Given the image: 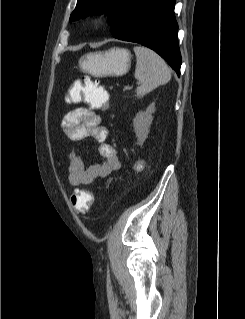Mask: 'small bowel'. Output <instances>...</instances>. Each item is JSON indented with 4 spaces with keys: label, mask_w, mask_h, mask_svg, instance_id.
Returning a JSON list of instances; mask_svg holds the SVG:
<instances>
[{
    "label": "small bowel",
    "mask_w": 245,
    "mask_h": 319,
    "mask_svg": "<svg viewBox=\"0 0 245 319\" xmlns=\"http://www.w3.org/2000/svg\"><path fill=\"white\" fill-rule=\"evenodd\" d=\"M80 82H76L70 89L67 102H79L77 90ZM63 130L72 141L92 138L98 143L102 162L86 165L85 158L73 150L68 153V180L74 187H91L100 178L108 177L121 167L115 149L106 143L107 128L102 124L100 115L91 108L78 107L69 111L63 121Z\"/></svg>",
    "instance_id": "c3829d8e"
}]
</instances>
